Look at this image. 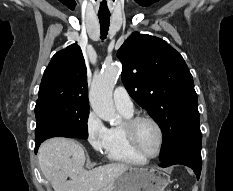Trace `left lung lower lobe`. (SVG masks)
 <instances>
[{
    "mask_svg": "<svg viewBox=\"0 0 233 191\" xmlns=\"http://www.w3.org/2000/svg\"><path fill=\"white\" fill-rule=\"evenodd\" d=\"M201 142L189 141L171 152L168 157L162 161L161 167H168L174 164H182L194 170L197 180L200 177L202 159H201Z\"/></svg>",
    "mask_w": 233,
    "mask_h": 191,
    "instance_id": "1",
    "label": "left lung lower lobe"
}]
</instances>
